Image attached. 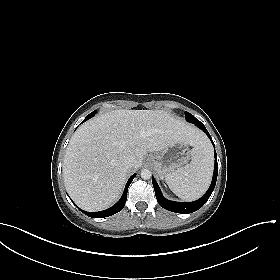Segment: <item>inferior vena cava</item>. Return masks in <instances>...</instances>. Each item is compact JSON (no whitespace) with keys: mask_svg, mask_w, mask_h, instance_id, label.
I'll list each match as a JSON object with an SVG mask.
<instances>
[{"mask_svg":"<svg viewBox=\"0 0 280 280\" xmlns=\"http://www.w3.org/2000/svg\"><path fill=\"white\" fill-rule=\"evenodd\" d=\"M134 161L135 157L133 155H127L123 159V163L126 168H131L133 166Z\"/></svg>","mask_w":280,"mask_h":280,"instance_id":"inferior-vena-cava-1","label":"inferior vena cava"}]
</instances>
